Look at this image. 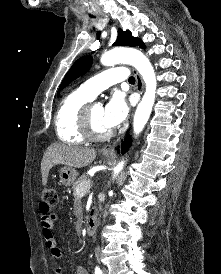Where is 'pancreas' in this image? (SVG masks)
<instances>
[{"label":"pancreas","mask_w":221,"mask_h":274,"mask_svg":"<svg viewBox=\"0 0 221 274\" xmlns=\"http://www.w3.org/2000/svg\"><path fill=\"white\" fill-rule=\"evenodd\" d=\"M88 182H90V181L87 179H79L73 184V186H72L73 196L76 201H80V199H81V192L79 191L80 188L87 185Z\"/></svg>","instance_id":"obj_1"}]
</instances>
